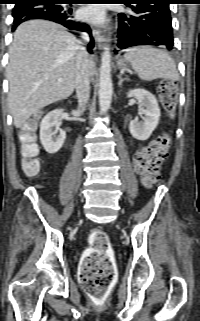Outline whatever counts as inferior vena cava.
Instances as JSON below:
<instances>
[{
  "label": "inferior vena cava",
  "mask_w": 200,
  "mask_h": 321,
  "mask_svg": "<svg viewBox=\"0 0 200 321\" xmlns=\"http://www.w3.org/2000/svg\"><path fill=\"white\" fill-rule=\"evenodd\" d=\"M82 39L89 42L87 33H82ZM78 42L77 46V67H76V93L78 99V112L82 113L85 110L89 100V69H88V52L86 48Z\"/></svg>",
  "instance_id": "obj_1"
}]
</instances>
